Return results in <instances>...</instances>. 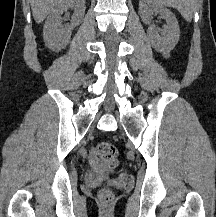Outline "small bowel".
Here are the masks:
<instances>
[{
	"label": "small bowel",
	"mask_w": 216,
	"mask_h": 217,
	"mask_svg": "<svg viewBox=\"0 0 216 217\" xmlns=\"http://www.w3.org/2000/svg\"><path fill=\"white\" fill-rule=\"evenodd\" d=\"M90 165L94 172L97 174H104L110 170L96 159L94 150L91 153Z\"/></svg>",
	"instance_id": "obj_1"
}]
</instances>
